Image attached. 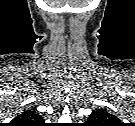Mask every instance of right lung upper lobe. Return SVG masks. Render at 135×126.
I'll return each mask as SVG.
<instances>
[{
  "label": "right lung upper lobe",
  "mask_w": 135,
  "mask_h": 126,
  "mask_svg": "<svg viewBox=\"0 0 135 126\" xmlns=\"http://www.w3.org/2000/svg\"><path fill=\"white\" fill-rule=\"evenodd\" d=\"M42 122L43 117L35 109H30L17 115L12 124L14 126H39Z\"/></svg>",
  "instance_id": "right-lung-upper-lobe-1"
}]
</instances>
